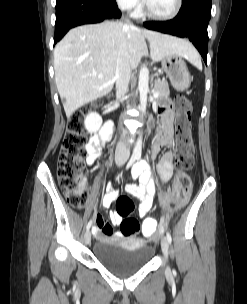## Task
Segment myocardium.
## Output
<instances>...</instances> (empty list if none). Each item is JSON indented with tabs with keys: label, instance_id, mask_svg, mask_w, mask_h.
Returning <instances> with one entry per match:
<instances>
[{
	"label": "myocardium",
	"instance_id": "1",
	"mask_svg": "<svg viewBox=\"0 0 247 304\" xmlns=\"http://www.w3.org/2000/svg\"><path fill=\"white\" fill-rule=\"evenodd\" d=\"M182 4H183V0H176L175 7L171 13H169L167 15H157L150 10V8L147 4V1L145 0L144 5H143V11H144L145 15L151 19L158 20V21H169V20L174 19L179 14V12L182 8Z\"/></svg>",
	"mask_w": 247,
	"mask_h": 304
}]
</instances>
